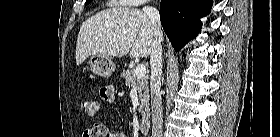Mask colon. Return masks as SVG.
<instances>
[{"instance_id":"5ec220e1","label":"colon","mask_w":280,"mask_h":137,"mask_svg":"<svg viewBox=\"0 0 280 137\" xmlns=\"http://www.w3.org/2000/svg\"><path fill=\"white\" fill-rule=\"evenodd\" d=\"M102 98L106 102H112L115 100V94L113 92H108L103 90L102 91ZM83 110L85 113L91 117H94L98 114L99 112V104L97 101L92 100V99H84L83 100ZM89 137H100L99 133H92L89 135Z\"/></svg>"}]
</instances>
